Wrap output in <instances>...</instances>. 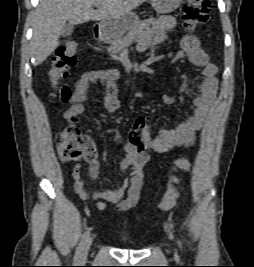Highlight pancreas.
<instances>
[{"label": "pancreas", "mask_w": 254, "mask_h": 267, "mask_svg": "<svg viewBox=\"0 0 254 267\" xmlns=\"http://www.w3.org/2000/svg\"><path fill=\"white\" fill-rule=\"evenodd\" d=\"M149 29V22L142 21L132 27V29L122 38H115L111 45L108 47V51L112 54H117L125 47L130 45L133 41L139 40L147 33Z\"/></svg>", "instance_id": "pancreas-1"}]
</instances>
